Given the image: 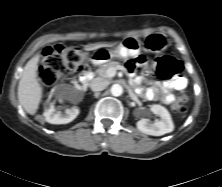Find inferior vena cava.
Segmentation results:
<instances>
[{
    "label": "inferior vena cava",
    "instance_id": "obj_1",
    "mask_svg": "<svg viewBox=\"0 0 222 187\" xmlns=\"http://www.w3.org/2000/svg\"><path fill=\"white\" fill-rule=\"evenodd\" d=\"M107 85V81L100 77L93 79L90 83V87L93 91H102Z\"/></svg>",
    "mask_w": 222,
    "mask_h": 187
}]
</instances>
